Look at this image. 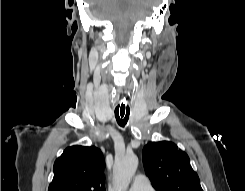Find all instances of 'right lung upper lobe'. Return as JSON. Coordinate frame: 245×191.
Segmentation results:
<instances>
[{"instance_id":"right-lung-upper-lobe-1","label":"right lung upper lobe","mask_w":245,"mask_h":191,"mask_svg":"<svg viewBox=\"0 0 245 191\" xmlns=\"http://www.w3.org/2000/svg\"><path fill=\"white\" fill-rule=\"evenodd\" d=\"M104 164L96 147H68L54 163L48 191H105Z\"/></svg>"}]
</instances>
